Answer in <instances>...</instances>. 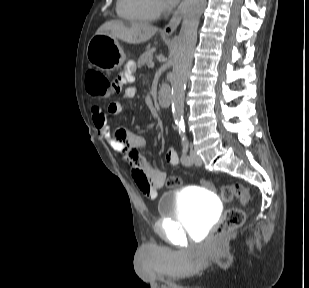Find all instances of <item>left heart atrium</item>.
Returning a JSON list of instances; mask_svg holds the SVG:
<instances>
[{
  "instance_id": "39dd6f15",
  "label": "left heart atrium",
  "mask_w": 309,
  "mask_h": 288,
  "mask_svg": "<svg viewBox=\"0 0 309 288\" xmlns=\"http://www.w3.org/2000/svg\"><path fill=\"white\" fill-rule=\"evenodd\" d=\"M179 0H169L170 3L175 4L177 3Z\"/></svg>"
}]
</instances>
